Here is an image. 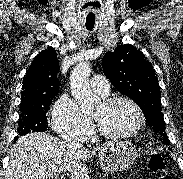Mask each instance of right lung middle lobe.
<instances>
[{"mask_svg":"<svg viewBox=\"0 0 183 179\" xmlns=\"http://www.w3.org/2000/svg\"><path fill=\"white\" fill-rule=\"evenodd\" d=\"M55 96H45L27 102H22L20 105V115L18 121L17 136L27 134L29 132H43L47 128L46 113Z\"/></svg>","mask_w":183,"mask_h":179,"instance_id":"1","label":"right lung middle lobe"}]
</instances>
